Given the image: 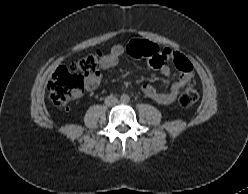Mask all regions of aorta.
<instances>
[{
  "label": "aorta",
  "mask_w": 248,
  "mask_h": 194,
  "mask_svg": "<svg viewBox=\"0 0 248 194\" xmlns=\"http://www.w3.org/2000/svg\"><path fill=\"white\" fill-rule=\"evenodd\" d=\"M120 100L122 103H128L130 101V97L127 94H122Z\"/></svg>",
  "instance_id": "obj_1"
}]
</instances>
